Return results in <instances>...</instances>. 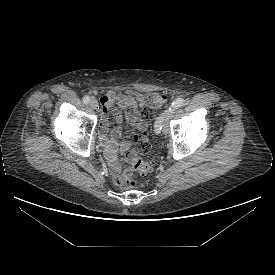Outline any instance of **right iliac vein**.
I'll return each mask as SVG.
<instances>
[{
  "instance_id": "1",
  "label": "right iliac vein",
  "mask_w": 275,
  "mask_h": 275,
  "mask_svg": "<svg viewBox=\"0 0 275 275\" xmlns=\"http://www.w3.org/2000/svg\"><path fill=\"white\" fill-rule=\"evenodd\" d=\"M90 106H91L93 109H97V107H98V101L95 100V99H92V100L90 101Z\"/></svg>"
}]
</instances>
